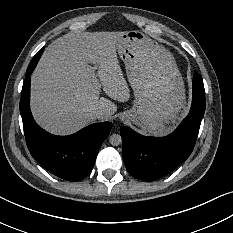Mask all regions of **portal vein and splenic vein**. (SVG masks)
<instances>
[{
	"mask_svg": "<svg viewBox=\"0 0 233 233\" xmlns=\"http://www.w3.org/2000/svg\"><path fill=\"white\" fill-rule=\"evenodd\" d=\"M92 81H93L94 83L98 84V80H97V78H96L95 76L92 77Z\"/></svg>",
	"mask_w": 233,
	"mask_h": 233,
	"instance_id": "1",
	"label": "portal vein and splenic vein"
}]
</instances>
